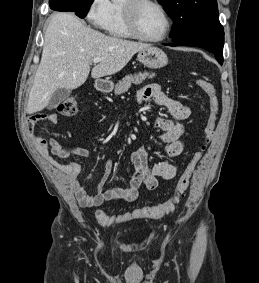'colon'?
<instances>
[{"label":"colon","instance_id":"5ec220e1","mask_svg":"<svg viewBox=\"0 0 259 283\" xmlns=\"http://www.w3.org/2000/svg\"><path fill=\"white\" fill-rule=\"evenodd\" d=\"M196 84L209 96L210 115L204 128L203 143L200 148L195 153H193L190 160L188 161L185 170L179 177L172 196L163 203L143 207L134 210L133 212L125 213L122 215H108L104 212H99L98 219L102 224L112 225L119 222H126L132 219L158 218L164 213L173 211L177 204L185 197L197 163L213 137L217 113L219 109L218 95L215 86L211 82L202 78L197 79ZM78 109L79 107L77 98L75 96H69L60 103L58 107V113L62 116L71 117L77 114Z\"/></svg>","mask_w":259,"mask_h":283}]
</instances>
